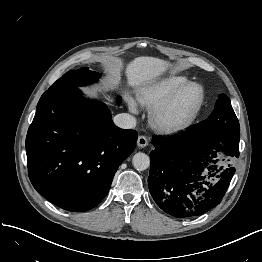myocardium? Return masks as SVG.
<instances>
[{
  "label": "myocardium",
  "instance_id": "obj_1",
  "mask_svg": "<svg viewBox=\"0 0 262 262\" xmlns=\"http://www.w3.org/2000/svg\"><path fill=\"white\" fill-rule=\"evenodd\" d=\"M190 87H197L199 89V98L193 110L189 115L183 118L177 120H168V112L177 104L183 92ZM204 99L205 92L203 86L200 83L194 81H187L152 109L150 113L151 125L158 132L165 134H172L182 131L189 127L197 118L202 109Z\"/></svg>",
  "mask_w": 262,
  "mask_h": 262
}]
</instances>
